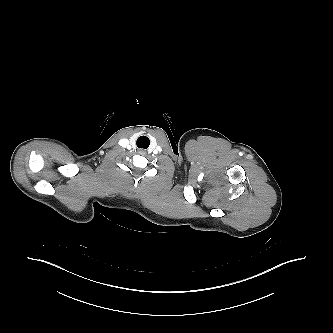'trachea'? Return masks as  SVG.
Here are the masks:
<instances>
[{
	"label": "trachea",
	"mask_w": 333,
	"mask_h": 333,
	"mask_svg": "<svg viewBox=\"0 0 333 333\" xmlns=\"http://www.w3.org/2000/svg\"><path fill=\"white\" fill-rule=\"evenodd\" d=\"M149 144H150V140L146 136H140L137 139V147L138 148L146 149V148H148Z\"/></svg>",
	"instance_id": "trachea-1"
}]
</instances>
